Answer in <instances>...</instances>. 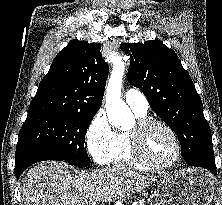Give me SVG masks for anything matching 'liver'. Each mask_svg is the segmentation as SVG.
I'll return each mask as SVG.
<instances>
[{
  "label": "liver",
  "instance_id": "liver-1",
  "mask_svg": "<svg viewBox=\"0 0 222 205\" xmlns=\"http://www.w3.org/2000/svg\"><path fill=\"white\" fill-rule=\"evenodd\" d=\"M156 177L123 166L72 175L65 162L46 161L32 167L23 180L24 205H88V199L111 202L140 192Z\"/></svg>",
  "mask_w": 222,
  "mask_h": 205
}]
</instances>
